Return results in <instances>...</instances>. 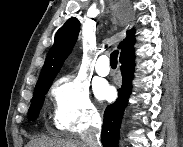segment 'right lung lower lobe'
<instances>
[{
  "instance_id": "98d812e1",
  "label": "right lung lower lobe",
  "mask_w": 183,
  "mask_h": 147,
  "mask_svg": "<svg viewBox=\"0 0 183 147\" xmlns=\"http://www.w3.org/2000/svg\"><path fill=\"white\" fill-rule=\"evenodd\" d=\"M120 63L123 77L122 86L118 89L117 100L113 104L108 105L104 112L101 136L104 147H118L121 119L127 106V101L132 88V79L134 76V51L120 56Z\"/></svg>"
}]
</instances>
